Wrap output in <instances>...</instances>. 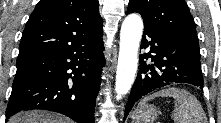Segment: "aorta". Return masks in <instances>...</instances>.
I'll list each match as a JSON object with an SVG mask.
<instances>
[{"label":"aorta","mask_w":221,"mask_h":123,"mask_svg":"<svg viewBox=\"0 0 221 123\" xmlns=\"http://www.w3.org/2000/svg\"><path fill=\"white\" fill-rule=\"evenodd\" d=\"M143 31V21L137 14L128 15L120 32V49L116 72V99L127 94L134 82L138 67V49Z\"/></svg>","instance_id":"1"}]
</instances>
